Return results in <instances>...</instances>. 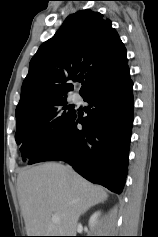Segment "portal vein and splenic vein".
<instances>
[{"label": "portal vein and splenic vein", "mask_w": 158, "mask_h": 237, "mask_svg": "<svg viewBox=\"0 0 158 237\" xmlns=\"http://www.w3.org/2000/svg\"><path fill=\"white\" fill-rule=\"evenodd\" d=\"M59 220H60V218H59V216H58L57 214H54V215L52 216V221H54V222H59Z\"/></svg>", "instance_id": "1"}]
</instances>
